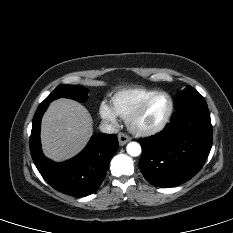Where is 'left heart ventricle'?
<instances>
[{"label": "left heart ventricle", "mask_w": 233, "mask_h": 233, "mask_svg": "<svg viewBox=\"0 0 233 233\" xmlns=\"http://www.w3.org/2000/svg\"><path fill=\"white\" fill-rule=\"evenodd\" d=\"M169 109V99L165 95L155 97L138 117L136 124L140 128L157 126L165 117Z\"/></svg>", "instance_id": "1"}]
</instances>
